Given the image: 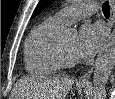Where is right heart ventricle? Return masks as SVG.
Wrapping results in <instances>:
<instances>
[{"label":"right heart ventricle","mask_w":115,"mask_h":99,"mask_svg":"<svg viewBox=\"0 0 115 99\" xmlns=\"http://www.w3.org/2000/svg\"><path fill=\"white\" fill-rule=\"evenodd\" d=\"M62 26L48 19L29 34L24 46L26 70L33 75H52L63 68L57 57L56 34Z\"/></svg>","instance_id":"1"}]
</instances>
